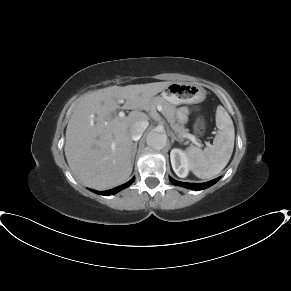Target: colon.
I'll return each mask as SVG.
<instances>
[{
    "label": "colon",
    "mask_w": 291,
    "mask_h": 291,
    "mask_svg": "<svg viewBox=\"0 0 291 291\" xmlns=\"http://www.w3.org/2000/svg\"><path fill=\"white\" fill-rule=\"evenodd\" d=\"M194 130L198 136H202L205 133L206 130V122L204 118L199 117L196 119L194 124Z\"/></svg>",
    "instance_id": "obj_1"
}]
</instances>
